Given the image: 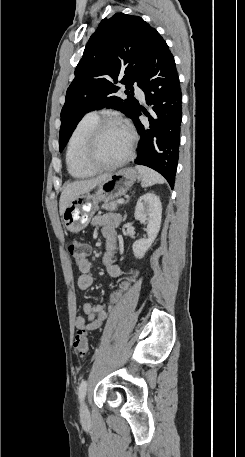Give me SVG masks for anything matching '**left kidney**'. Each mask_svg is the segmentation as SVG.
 Instances as JSON below:
<instances>
[{
  "label": "left kidney",
  "mask_w": 245,
  "mask_h": 457,
  "mask_svg": "<svg viewBox=\"0 0 245 457\" xmlns=\"http://www.w3.org/2000/svg\"><path fill=\"white\" fill-rule=\"evenodd\" d=\"M134 216L142 224H147V239H139L132 245L136 259H143L160 231L162 204L159 196L154 192H146V194L139 196Z\"/></svg>",
  "instance_id": "left-kidney-1"
}]
</instances>
